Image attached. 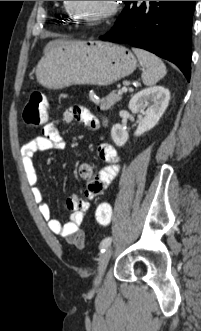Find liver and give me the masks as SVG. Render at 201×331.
Wrapping results in <instances>:
<instances>
[{"label":"liver","mask_w":201,"mask_h":331,"mask_svg":"<svg viewBox=\"0 0 201 331\" xmlns=\"http://www.w3.org/2000/svg\"><path fill=\"white\" fill-rule=\"evenodd\" d=\"M62 42H64V41H62V40H54V41H51V42H49V43L46 45L44 51H46L47 49H49L52 45H54V44H58V43H62Z\"/></svg>","instance_id":"obj_1"}]
</instances>
